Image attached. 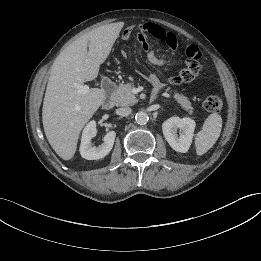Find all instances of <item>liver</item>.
<instances>
[{
	"mask_svg": "<svg viewBox=\"0 0 261 261\" xmlns=\"http://www.w3.org/2000/svg\"><path fill=\"white\" fill-rule=\"evenodd\" d=\"M122 26L113 23L84 34L55 59L42 108L46 138L59 157L70 160L81 130L104 102L105 92L89 88L78 93L76 84L94 80L107 59Z\"/></svg>",
	"mask_w": 261,
	"mask_h": 261,
	"instance_id": "liver-1",
	"label": "liver"
}]
</instances>
